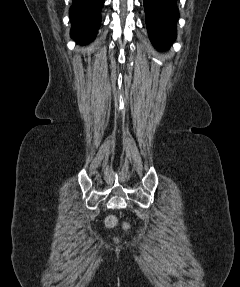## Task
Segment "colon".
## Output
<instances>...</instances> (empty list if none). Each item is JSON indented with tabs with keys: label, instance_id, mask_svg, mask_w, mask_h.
Instances as JSON below:
<instances>
[{
	"label": "colon",
	"instance_id": "1",
	"mask_svg": "<svg viewBox=\"0 0 240 287\" xmlns=\"http://www.w3.org/2000/svg\"><path fill=\"white\" fill-rule=\"evenodd\" d=\"M106 224H107L109 227H114V226H116V224H117V220H116L115 217L110 216V217L107 218Z\"/></svg>",
	"mask_w": 240,
	"mask_h": 287
}]
</instances>
